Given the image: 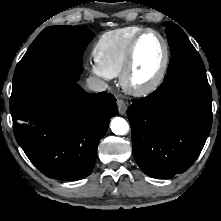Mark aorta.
<instances>
[{"label":"aorta","mask_w":221,"mask_h":221,"mask_svg":"<svg viewBox=\"0 0 221 221\" xmlns=\"http://www.w3.org/2000/svg\"><path fill=\"white\" fill-rule=\"evenodd\" d=\"M112 132L116 135H125L129 130V125L124 118L114 117L110 126Z\"/></svg>","instance_id":"obj_1"}]
</instances>
